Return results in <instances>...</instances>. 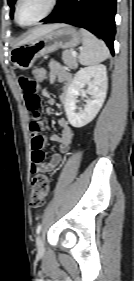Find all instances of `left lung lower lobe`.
Wrapping results in <instances>:
<instances>
[{
  "mask_svg": "<svg viewBox=\"0 0 134 281\" xmlns=\"http://www.w3.org/2000/svg\"><path fill=\"white\" fill-rule=\"evenodd\" d=\"M116 0H61L44 23H68L99 35L114 55Z\"/></svg>",
  "mask_w": 134,
  "mask_h": 281,
  "instance_id": "1",
  "label": "left lung lower lobe"
}]
</instances>
